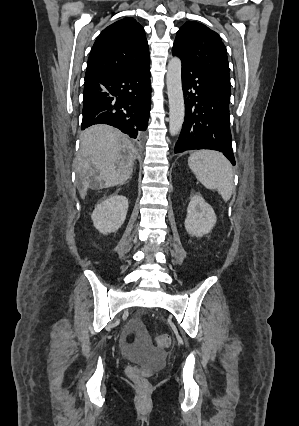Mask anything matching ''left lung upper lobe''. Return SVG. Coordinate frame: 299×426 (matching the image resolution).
<instances>
[{
  "mask_svg": "<svg viewBox=\"0 0 299 426\" xmlns=\"http://www.w3.org/2000/svg\"><path fill=\"white\" fill-rule=\"evenodd\" d=\"M172 51L230 93L227 51L216 32L201 23L187 21L177 32Z\"/></svg>",
  "mask_w": 299,
  "mask_h": 426,
  "instance_id": "obj_1",
  "label": "left lung upper lobe"
}]
</instances>
